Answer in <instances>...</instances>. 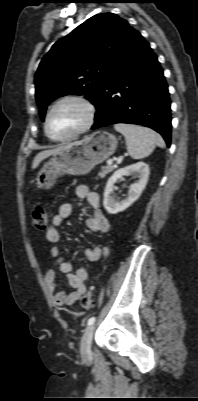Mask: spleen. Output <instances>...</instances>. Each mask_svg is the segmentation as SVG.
<instances>
[{
  "label": "spleen",
  "mask_w": 198,
  "mask_h": 401,
  "mask_svg": "<svg viewBox=\"0 0 198 401\" xmlns=\"http://www.w3.org/2000/svg\"><path fill=\"white\" fill-rule=\"evenodd\" d=\"M116 131L124 135L127 150L133 159L139 160L149 156L156 146L165 147L163 138L155 131L130 124H115Z\"/></svg>",
  "instance_id": "1"
}]
</instances>
